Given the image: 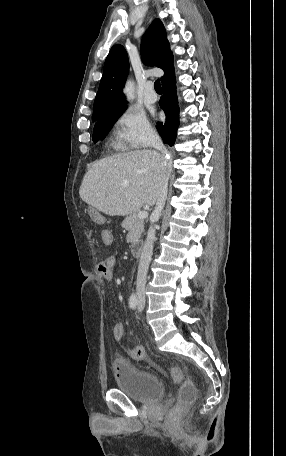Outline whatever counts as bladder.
Returning a JSON list of instances; mask_svg holds the SVG:
<instances>
[{"mask_svg": "<svg viewBox=\"0 0 286 456\" xmlns=\"http://www.w3.org/2000/svg\"><path fill=\"white\" fill-rule=\"evenodd\" d=\"M114 374L116 386L135 401L145 403L164 396L165 389L156 376L142 372L128 362H116Z\"/></svg>", "mask_w": 286, "mask_h": 456, "instance_id": "bladder-1", "label": "bladder"}]
</instances>
